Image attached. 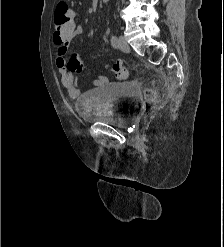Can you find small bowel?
Here are the masks:
<instances>
[{
  "instance_id": "obj_1",
  "label": "small bowel",
  "mask_w": 224,
  "mask_h": 247,
  "mask_svg": "<svg viewBox=\"0 0 224 247\" xmlns=\"http://www.w3.org/2000/svg\"><path fill=\"white\" fill-rule=\"evenodd\" d=\"M84 25L81 23H74V36L79 35L83 32ZM71 38L60 37L54 33L53 44L57 48L55 64L60 74V79L63 87L66 89L67 95L70 98H77L80 95V89L77 85L78 78L73 75L72 72L68 70V46ZM120 65V63H116ZM108 83V78L99 75L95 78L93 84L95 86H100Z\"/></svg>"
}]
</instances>
